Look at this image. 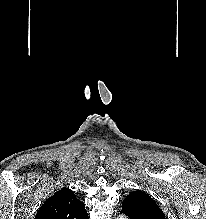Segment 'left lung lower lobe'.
<instances>
[{"instance_id": "obj_1", "label": "left lung lower lobe", "mask_w": 206, "mask_h": 219, "mask_svg": "<svg viewBox=\"0 0 206 219\" xmlns=\"http://www.w3.org/2000/svg\"><path fill=\"white\" fill-rule=\"evenodd\" d=\"M122 212H123L124 214H126L127 216H129L130 219H138V218L132 216L130 213L126 212V211H123V210H122Z\"/></svg>"}]
</instances>
